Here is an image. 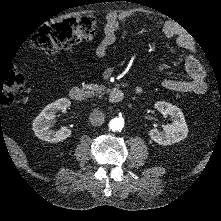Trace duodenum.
Here are the masks:
<instances>
[{
    "label": "duodenum",
    "instance_id": "1",
    "mask_svg": "<svg viewBox=\"0 0 221 221\" xmlns=\"http://www.w3.org/2000/svg\"><path fill=\"white\" fill-rule=\"evenodd\" d=\"M141 91V88L135 90L136 93H140ZM84 96V91L80 87H72L68 91V97L73 101H81L84 99ZM108 97L111 103L117 104L123 101L124 93L119 88L114 87L110 89Z\"/></svg>",
    "mask_w": 221,
    "mask_h": 221
}]
</instances>
